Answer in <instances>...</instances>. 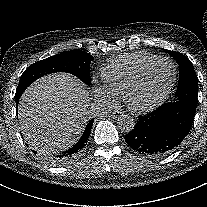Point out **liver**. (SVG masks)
Returning <instances> with one entry per match:
<instances>
[{
    "mask_svg": "<svg viewBox=\"0 0 207 207\" xmlns=\"http://www.w3.org/2000/svg\"><path fill=\"white\" fill-rule=\"evenodd\" d=\"M89 92L77 77L56 72L34 81L22 94L18 119L25 142L42 153L71 148L94 117Z\"/></svg>",
    "mask_w": 207,
    "mask_h": 207,
    "instance_id": "obj_1",
    "label": "liver"
}]
</instances>
